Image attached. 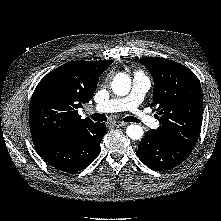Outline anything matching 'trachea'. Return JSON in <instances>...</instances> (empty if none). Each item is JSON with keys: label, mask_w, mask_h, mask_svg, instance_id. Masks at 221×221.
<instances>
[{"label": "trachea", "mask_w": 221, "mask_h": 221, "mask_svg": "<svg viewBox=\"0 0 221 221\" xmlns=\"http://www.w3.org/2000/svg\"><path fill=\"white\" fill-rule=\"evenodd\" d=\"M91 118L94 121L103 122L107 120V117L103 114L95 113L91 115ZM125 122H138V120L133 116H128L124 118Z\"/></svg>", "instance_id": "trachea-1"}]
</instances>
